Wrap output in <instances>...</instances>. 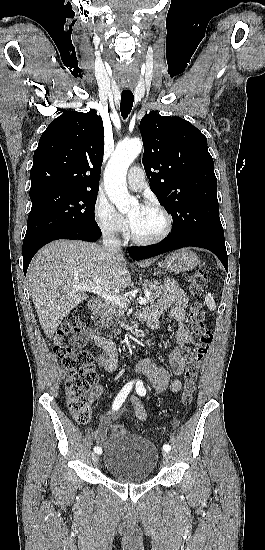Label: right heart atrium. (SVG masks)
<instances>
[{
  "label": "right heart atrium",
  "mask_w": 265,
  "mask_h": 550,
  "mask_svg": "<svg viewBox=\"0 0 265 550\" xmlns=\"http://www.w3.org/2000/svg\"><path fill=\"white\" fill-rule=\"evenodd\" d=\"M94 220L101 232L109 237L118 238L127 231L124 218L117 212L110 200L98 195L93 207Z\"/></svg>",
  "instance_id": "d8ad5b80"
}]
</instances>
